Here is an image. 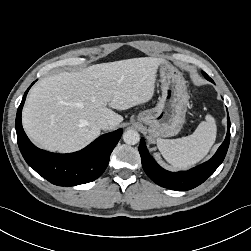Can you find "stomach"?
Masks as SVG:
<instances>
[{
	"label": "stomach",
	"mask_w": 251,
	"mask_h": 251,
	"mask_svg": "<svg viewBox=\"0 0 251 251\" xmlns=\"http://www.w3.org/2000/svg\"><path fill=\"white\" fill-rule=\"evenodd\" d=\"M162 96L156 107L137 115L140 123L148 125L151 139L177 135L185 123L189 104L186 82L181 72L167 61L160 65Z\"/></svg>",
	"instance_id": "obj_1"
}]
</instances>
